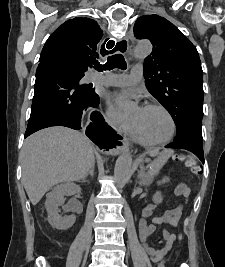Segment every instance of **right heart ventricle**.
Listing matches in <instances>:
<instances>
[{
    "mask_svg": "<svg viewBox=\"0 0 225 267\" xmlns=\"http://www.w3.org/2000/svg\"><path fill=\"white\" fill-rule=\"evenodd\" d=\"M130 136L132 137V139L136 142H139L141 144H146L141 138L140 136L137 134V132L132 129L130 132H129Z\"/></svg>",
    "mask_w": 225,
    "mask_h": 267,
    "instance_id": "1",
    "label": "right heart ventricle"
}]
</instances>
